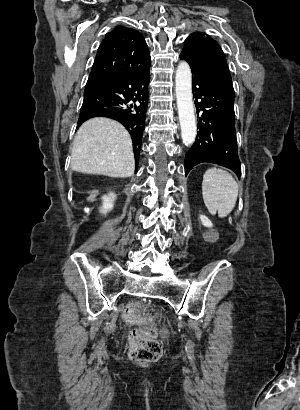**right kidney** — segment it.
<instances>
[{"label": "right kidney", "mask_w": 300, "mask_h": 410, "mask_svg": "<svg viewBox=\"0 0 300 410\" xmlns=\"http://www.w3.org/2000/svg\"><path fill=\"white\" fill-rule=\"evenodd\" d=\"M115 198H116V195L112 192L102 197L103 203L100 209V212L102 214H106L107 212L113 209Z\"/></svg>", "instance_id": "1"}]
</instances>
